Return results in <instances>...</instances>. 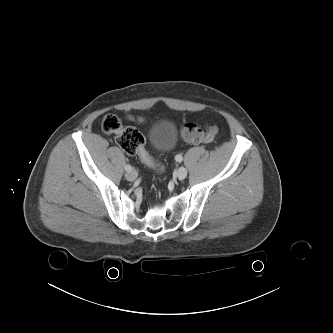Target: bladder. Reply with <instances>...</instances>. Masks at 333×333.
Listing matches in <instances>:
<instances>
[{"instance_id": "1", "label": "bladder", "mask_w": 333, "mask_h": 333, "mask_svg": "<svg viewBox=\"0 0 333 333\" xmlns=\"http://www.w3.org/2000/svg\"><path fill=\"white\" fill-rule=\"evenodd\" d=\"M177 128L166 121L155 124L149 133V141L154 150H170L177 140Z\"/></svg>"}]
</instances>
